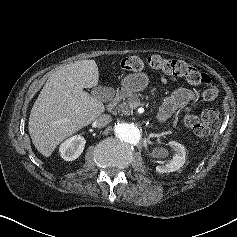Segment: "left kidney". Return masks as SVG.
I'll list each match as a JSON object with an SVG mask.
<instances>
[{
    "label": "left kidney",
    "instance_id": "5707ae66",
    "mask_svg": "<svg viewBox=\"0 0 237 237\" xmlns=\"http://www.w3.org/2000/svg\"><path fill=\"white\" fill-rule=\"evenodd\" d=\"M169 146L174 151V156L171 161L165 165H158L156 171L159 173H169L179 170L185 163V148L182 144L170 141Z\"/></svg>",
    "mask_w": 237,
    "mask_h": 237
}]
</instances>
